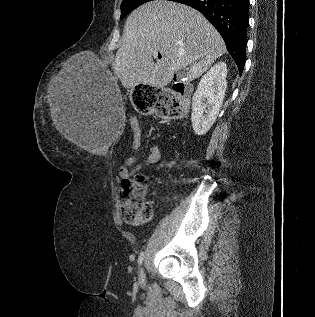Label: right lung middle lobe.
I'll return each mask as SVG.
<instances>
[{
    "instance_id": "right-lung-middle-lobe-1",
    "label": "right lung middle lobe",
    "mask_w": 315,
    "mask_h": 317,
    "mask_svg": "<svg viewBox=\"0 0 315 317\" xmlns=\"http://www.w3.org/2000/svg\"><path fill=\"white\" fill-rule=\"evenodd\" d=\"M149 1H153V0H123L121 4V18L120 19H123L132 10L142 5L143 3H146ZM170 1H175V0H170Z\"/></svg>"
}]
</instances>
